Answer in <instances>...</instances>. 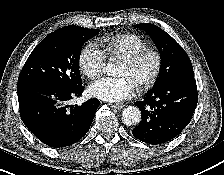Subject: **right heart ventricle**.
Returning <instances> with one entry per match:
<instances>
[{"label":"right heart ventricle","mask_w":224,"mask_h":175,"mask_svg":"<svg viewBox=\"0 0 224 175\" xmlns=\"http://www.w3.org/2000/svg\"><path fill=\"white\" fill-rule=\"evenodd\" d=\"M101 45L105 54L122 60L146 47L145 41L134 33H119L105 37Z\"/></svg>","instance_id":"e07e8e85"}]
</instances>
